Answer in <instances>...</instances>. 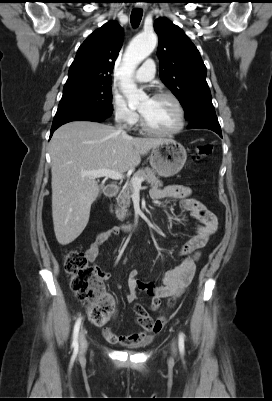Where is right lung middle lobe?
I'll return each mask as SVG.
<instances>
[{
  "label": "right lung middle lobe",
  "instance_id": "right-lung-middle-lobe-1",
  "mask_svg": "<svg viewBox=\"0 0 272 401\" xmlns=\"http://www.w3.org/2000/svg\"><path fill=\"white\" fill-rule=\"evenodd\" d=\"M111 82L63 91L53 123L79 115L109 117L112 112Z\"/></svg>",
  "mask_w": 272,
  "mask_h": 401
}]
</instances>
